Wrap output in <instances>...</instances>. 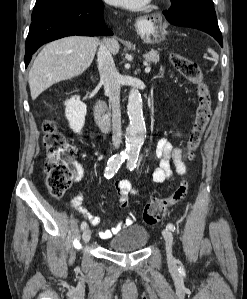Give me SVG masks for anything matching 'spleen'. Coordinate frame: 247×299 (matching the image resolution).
I'll return each mask as SVG.
<instances>
[{
  "instance_id": "3e777b00",
  "label": "spleen",
  "mask_w": 247,
  "mask_h": 299,
  "mask_svg": "<svg viewBox=\"0 0 247 299\" xmlns=\"http://www.w3.org/2000/svg\"><path fill=\"white\" fill-rule=\"evenodd\" d=\"M208 52L212 55V57H213L214 60H218L219 59L218 54L214 50H212L211 48H208Z\"/></svg>"
}]
</instances>
